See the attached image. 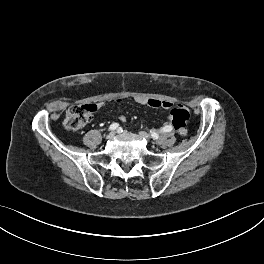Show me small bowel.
<instances>
[{"mask_svg": "<svg viewBox=\"0 0 264 264\" xmlns=\"http://www.w3.org/2000/svg\"><path fill=\"white\" fill-rule=\"evenodd\" d=\"M136 101L141 105H147L154 108H163V109H169L173 106V104L169 101H161L157 99H151V98H142L139 97L136 99ZM97 108H99L102 104H94ZM120 120L124 122L126 120L125 116H120Z\"/></svg>", "mask_w": 264, "mask_h": 264, "instance_id": "obj_1", "label": "small bowel"}]
</instances>
